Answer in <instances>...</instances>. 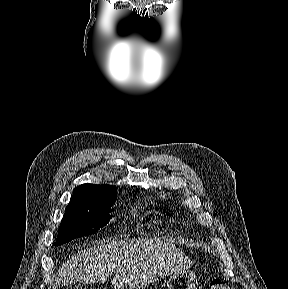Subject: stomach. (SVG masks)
Instances as JSON below:
<instances>
[{
	"label": "stomach",
	"instance_id": "obj_1",
	"mask_svg": "<svg viewBox=\"0 0 288 289\" xmlns=\"http://www.w3.org/2000/svg\"><path fill=\"white\" fill-rule=\"evenodd\" d=\"M198 279L196 274L190 270H184L170 275L168 289H197Z\"/></svg>",
	"mask_w": 288,
	"mask_h": 289
}]
</instances>
